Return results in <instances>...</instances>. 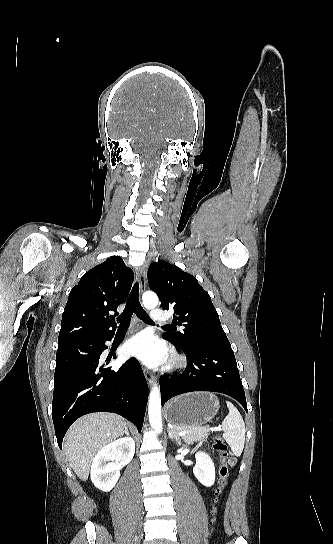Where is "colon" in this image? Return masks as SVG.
<instances>
[{"label":"colon","instance_id":"obj_1","mask_svg":"<svg viewBox=\"0 0 333 544\" xmlns=\"http://www.w3.org/2000/svg\"><path fill=\"white\" fill-rule=\"evenodd\" d=\"M213 448L219 454L221 459V463L219 466V479L214 491V506L212 509V514H213V517L215 518L218 512L217 504L228 482V477L230 474V466H229V463L227 462L228 446L221 436L218 435L214 438Z\"/></svg>","mask_w":333,"mask_h":544}]
</instances>
